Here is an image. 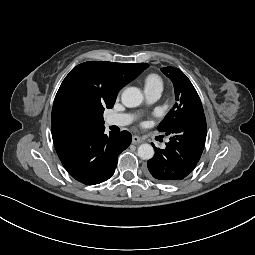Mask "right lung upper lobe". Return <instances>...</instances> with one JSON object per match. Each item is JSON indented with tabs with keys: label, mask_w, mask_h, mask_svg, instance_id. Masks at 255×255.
<instances>
[{
	"label": "right lung upper lobe",
	"mask_w": 255,
	"mask_h": 255,
	"mask_svg": "<svg viewBox=\"0 0 255 255\" xmlns=\"http://www.w3.org/2000/svg\"><path fill=\"white\" fill-rule=\"evenodd\" d=\"M148 66L89 61L72 69L55 96L51 116L53 141L104 128V108H112L118 91ZM71 96L84 98L89 107L80 114L75 112L68 105Z\"/></svg>",
	"instance_id": "cb5924a9"
}]
</instances>
